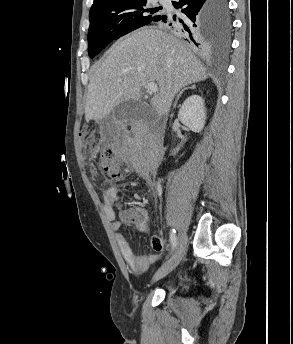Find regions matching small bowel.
I'll list each match as a JSON object with an SVG mask.
<instances>
[{
  "label": "small bowel",
  "instance_id": "small-bowel-1",
  "mask_svg": "<svg viewBox=\"0 0 293 344\" xmlns=\"http://www.w3.org/2000/svg\"><path fill=\"white\" fill-rule=\"evenodd\" d=\"M119 194V187L117 185H110L104 192V213L107 220L111 223V229L115 235V240L121 252V255L131 271L135 275H142L145 273L150 265L157 263L160 260V255L150 254V255H136L132 251L130 245L128 244L125 237L120 233L122 227V222L117 219L114 210V203L117 200ZM141 230H146V223ZM151 244L154 250L161 252L165 247V240L162 236H153L151 239Z\"/></svg>",
  "mask_w": 293,
  "mask_h": 344
}]
</instances>
